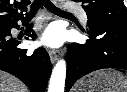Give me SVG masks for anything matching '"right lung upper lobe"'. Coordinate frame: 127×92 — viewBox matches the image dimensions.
<instances>
[{"instance_id": "cb5924a9", "label": "right lung upper lobe", "mask_w": 127, "mask_h": 92, "mask_svg": "<svg viewBox=\"0 0 127 92\" xmlns=\"http://www.w3.org/2000/svg\"><path fill=\"white\" fill-rule=\"evenodd\" d=\"M0 0V26L24 19L23 11L31 3L30 0ZM18 10H21L19 13Z\"/></svg>"}]
</instances>
